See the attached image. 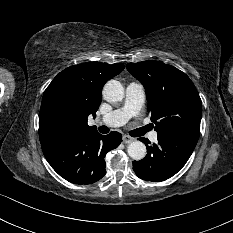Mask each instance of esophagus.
I'll return each instance as SVG.
<instances>
[{
  "instance_id": "obj_1",
  "label": "esophagus",
  "mask_w": 233,
  "mask_h": 233,
  "mask_svg": "<svg viewBox=\"0 0 233 233\" xmlns=\"http://www.w3.org/2000/svg\"><path fill=\"white\" fill-rule=\"evenodd\" d=\"M122 141H123V143H125V144H129V143H131V142L134 141V138H132V137H130V136H128V135H124V136L122 137Z\"/></svg>"
}]
</instances>
